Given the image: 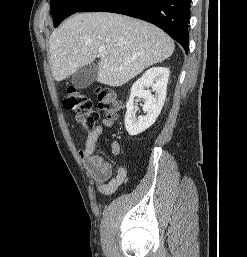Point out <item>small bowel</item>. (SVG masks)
I'll return each instance as SVG.
<instances>
[{
	"mask_svg": "<svg viewBox=\"0 0 247 257\" xmlns=\"http://www.w3.org/2000/svg\"><path fill=\"white\" fill-rule=\"evenodd\" d=\"M113 125V121L104 120L102 125L93 128L86 138L85 146L80 150V156L88 169L91 177L96 181L97 191L103 195H111L124 182L126 169L118 166L116 175L112 177V167L99 154L96 153V142L104 128ZM111 153L118 157L121 153V145L118 141L111 143Z\"/></svg>",
	"mask_w": 247,
	"mask_h": 257,
	"instance_id": "obj_1",
	"label": "small bowel"
}]
</instances>
